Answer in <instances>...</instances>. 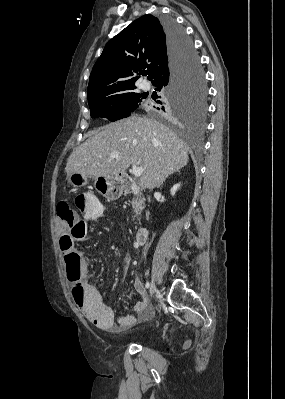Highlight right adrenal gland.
Returning <instances> with one entry per match:
<instances>
[{
  "instance_id": "2a0ac1e0",
  "label": "right adrenal gland",
  "mask_w": 285,
  "mask_h": 399,
  "mask_svg": "<svg viewBox=\"0 0 285 399\" xmlns=\"http://www.w3.org/2000/svg\"><path fill=\"white\" fill-rule=\"evenodd\" d=\"M174 172H180V171L179 170H175V171H172L171 174L174 173Z\"/></svg>"
}]
</instances>
